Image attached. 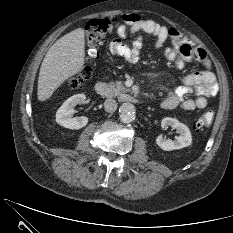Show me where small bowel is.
<instances>
[{
    "label": "small bowel",
    "mask_w": 233,
    "mask_h": 233,
    "mask_svg": "<svg viewBox=\"0 0 233 233\" xmlns=\"http://www.w3.org/2000/svg\"><path fill=\"white\" fill-rule=\"evenodd\" d=\"M122 20L124 23L117 28L118 38L109 44L110 53L121 56L128 62L136 63L143 46L142 34L146 33L156 37L154 43L156 49H160L166 41H170L171 52L178 54L185 61L194 59L206 67L202 71L184 76L181 84L161 101V108L166 110L205 108L207 98L215 96L219 89L216 76L209 68L210 62L206 52L184 38L177 29L168 28L155 20L142 18L135 13L124 14ZM128 38L134 39L132 44L126 43L125 40ZM192 93L195 97L187 98Z\"/></svg>",
    "instance_id": "obj_1"
}]
</instances>
